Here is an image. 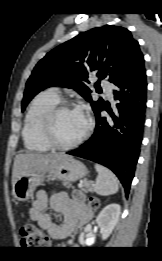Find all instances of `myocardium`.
<instances>
[{
  "label": "myocardium",
  "mask_w": 162,
  "mask_h": 261,
  "mask_svg": "<svg viewBox=\"0 0 162 261\" xmlns=\"http://www.w3.org/2000/svg\"><path fill=\"white\" fill-rule=\"evenodd\" d=\"M67 110H73V105L68 102H59L53 106L44 116L42 121V132L46 142L51 148L57 150H70L80 145L89 135L91 123L88 120L87 126L83 134L75 141L67 144L59 142L55 135V120L57 116Z\"/></svg>",
  "instance_id": "f54148a6"
}]
</instances>
